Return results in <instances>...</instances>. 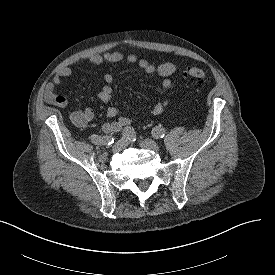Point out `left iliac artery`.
<instances>
[{
    "instance_id": "obj_1",
    "label": "left iliac artery",
    "mask_w": 275,
    "mask_h": 275,
    "mask_svg": "<svg viewBox=\"0 0 275 275\" xmlns=\"http://www.w3.org/2000/svg\"><path fill=\"white\" fill-rule=\"evenodd\" d=\"M166 132L165 129L163 127H154L152 130V136L155 139H159V138H163L165 136Z\"/></svg>"
}]
</instances>
